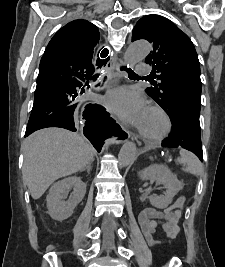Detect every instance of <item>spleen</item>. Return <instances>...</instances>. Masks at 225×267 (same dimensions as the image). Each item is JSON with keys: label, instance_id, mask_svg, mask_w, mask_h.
Segmentation results:
<instances>
[{"label": "spleen", "instance_id": "3e777b00", "mask_svg": "<svg viewBox=\"0 0 225 267\" xmlns=\"http://www.w3.org/2000/svg\"><path fill=\"white\" fill-rule=\"evenodd\" d=\"M179 162L183 165L182 170L193 175H199L202 170V166L198 158L191 152L181 149Z\"/></svg>", "mask_w": 225, "mask_h": 267}]
</instances>
